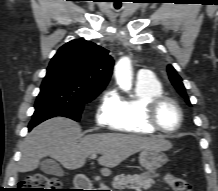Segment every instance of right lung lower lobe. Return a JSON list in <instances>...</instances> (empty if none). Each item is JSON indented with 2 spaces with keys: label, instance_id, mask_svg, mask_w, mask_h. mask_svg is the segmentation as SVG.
Listing matches in <instances>:
<instances>
[{
  "label": "right lung lower lobe",
  "instance_id": "obj_1",
  "mask_svg": "<svg viewBox=\"0 0 218 191\" xmlns=\"http://www.w3.org/2000/svg\"><path fill=\"white\" fill-rule=\"evenodd\" d=\"M43 119H45V118H43ZM44 121V120H43ZM42 122V121H41ZM40 122V123H41ZM38 125V124H37ZM36 126V125H35ZM34 125H31V124H29V130H31L33 127H35Z\"/></svg>",
  "mask_w": 218,
  "mask_h": 191
}]
</instances>
